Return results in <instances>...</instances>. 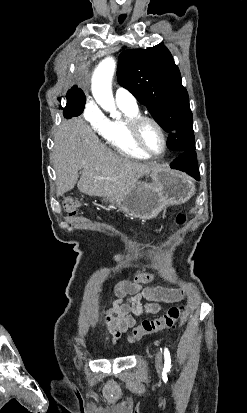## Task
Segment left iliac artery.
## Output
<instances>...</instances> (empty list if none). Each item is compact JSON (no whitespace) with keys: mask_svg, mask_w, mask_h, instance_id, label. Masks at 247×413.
Here are the masks:
<instances>
[{"mask_svg":"<svg viewBox=\"0 0 247 413\" xmlns=\"http://www.w3.org/2000/svg\"><path fill=\"white\" fill-rule=\"evenodd\" d=\"M164 369H170L171 367V357L168 348L164 349Z\"/></svg>","mask_w":247,"mask_h":413,"instance_id":"left-iliac-artery-1","label":"left iliac artery"}]
</instances>
